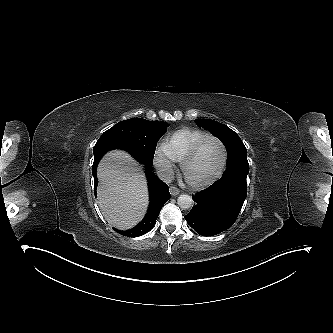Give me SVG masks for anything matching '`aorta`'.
<instances>
[{
	"label": "aorta",
	"mask_w": 333,
	"mask_h": 333,
	"mask_svg": "<svg viewBox=\"0 0 333 333\" xmlns=\"http://www.w3.org/2000/svg\"><path fill=\"white\" fill-rule=\"evenodd\" d=\"M193 199L188 194H181L177 199V204L183 210H187L192 206Z\"/></svg>",
	"instance_id": "aorta-1"
}]
</instances>
